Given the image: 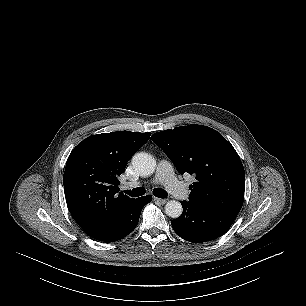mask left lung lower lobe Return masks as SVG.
Segmentation results:
<instances>
[{
	"instance_id": "1",
	"label": "left lung lower lobe",
	"mask_w": 306,
	"mask_h": 306,
	"mask_svg": "<svg viewBox=\"0 0 306 306\" xmlns=\"http://www.w3.org/2000/svg\"><path fill=\"white\" fill-rule=\"evenodd\" d=\"M182 215L171 221L174 231L184 240L201 243L222 236L232 225L237 214L215 208L200 207L181 201Z\"/></svg>"
}]
</instances>
